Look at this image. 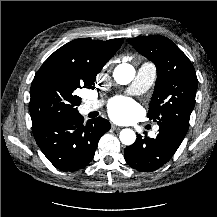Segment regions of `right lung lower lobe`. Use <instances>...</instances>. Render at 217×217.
Returning a JSON list of instances; mask_svg holds the SVG:
<instances>
[{"instance_id":"right-lung-lower-lobe-1","label":"right lung lower lobe","mask_w":217,"mask_h":217,"mask_svg":"<svg viewBox=\"0 0 217 217\" xmlns=\"http://www.w3.org/2000/svg\"><path fill=\"white\" fill-rule=\"evenodd\" d=\"M79 113L32 124L34 138L47 159L62 171H76L94 157L99 139L110 129L101 117L83 123Z\"/></svg>"}]
</instances>
